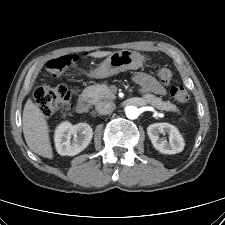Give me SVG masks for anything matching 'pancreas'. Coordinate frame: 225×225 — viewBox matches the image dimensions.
Returning <instances> with one entry per match:
<instances>
[{
  "label": "pancreas",
  "mask_w": 225,
  "mask_h": 225,
  "mask_svg": "<svg viewBox=\"0 0 225 225\" xmlns=\"http://www.w3.org/2000/svg\"><path fill=\"white\" fill-rule=\"evenodd\" d=\"M142 93L143 99L154 106L155 108L159 110H165V111H173L178 112L179 110L176 105L172 104L170 101H163L161 98L150 94V93H144L143 90H140ZM84 93L92 98L93 100L97 101L99 99H115V91L109 88L106 84H97L93 86H89L84 90Z\"/></svg>",
  "instance_id": "pancreas-1"
}]
</instances>
